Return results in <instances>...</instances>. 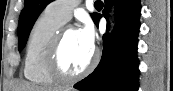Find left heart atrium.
<instances>
[{"label":"left heart atrium","mask_w":173,"mask_h":91,"mask_svg":"<svg viewBox=\"0 0 173 91\" xmlns=\"http://www.w3.org/2000/svg\"><path fill=\"white\" fill-rule=\"evenodd\" d=\"M78 35L80 40L90 49L94 48L95 33L90 22H86L79 30Z\"/></svg>","instance_id":"1"}]
</instances>
